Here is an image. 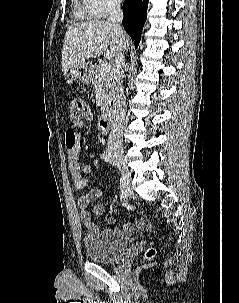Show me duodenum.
I'll return each mask as SVG.
<instances>
[{
    "label": "duodenum",
    "instance_id": "duodenum-1",
    "mask_svg": "<svg viewBox=\"0 0 239 303\" xmlns=\"http://www.w3.org/2000/svg\"><path fill=\"white\" fill-rule=\"evenodd\" d=\"M99 129L103 133H108L111 128V115L108 111L104 112L98 120Z\"/></svg>",
    "mask_w": 239,
    "mask_h": 303
}]
</instances>
